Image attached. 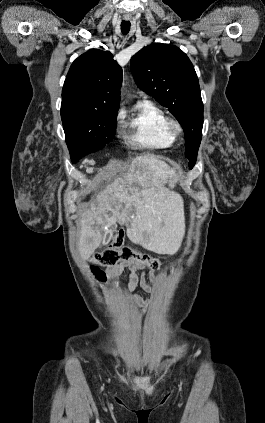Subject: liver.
Wrapping results in <instances>:
<instances>
[{"instance_id": "1", "label": "liver", "mask_w": 265, "mask_h": 423, "mask_svg": "<svg viewBox=\"0 0 265 423\" xmlns=\"http://www.w3.org/2000/svg\"><path fill=\"white\" fill-rule=\"evenodd\" d=\"M178 178L174 169L153 155L137 156L128 170L110 160L102 179L113 181L82 214L81 258L88 260L102 242V231L117 222L127 226V237L134 244L157 254H175L185 234L184 203L164 185L173 187Z\"/></svg>"}]
</instances>
